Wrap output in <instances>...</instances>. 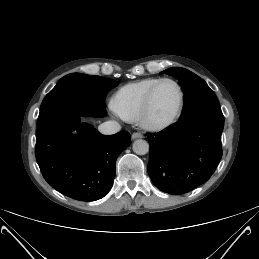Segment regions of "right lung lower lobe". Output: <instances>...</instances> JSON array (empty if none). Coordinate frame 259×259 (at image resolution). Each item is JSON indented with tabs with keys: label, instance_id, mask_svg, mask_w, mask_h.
<instances>
[{
	"label": "right lung lower lobe",
	"instance_id": "obj_1",
	"mask_svg": "<svg viewBox=\"0 0 259 259\" xmlns=\"http://www.w3.org/2000/svg\"><path fill=\"white\" fill-rule=\"evenodd\" d=\"M80 117L85 116L60 113L39 122L35 156L53 188L69 198L90 202L111 189L116 159L130 145V134L102 135L91 125L80 124Z\"/></svg>",
	"mask_w": 259,
	"mask_h": 259
}]
</instances>
